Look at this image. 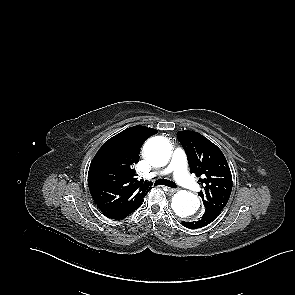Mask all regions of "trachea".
Here are the masks:
<instances>
[{
  "mask_svg": "<svg viewBox=\"0 0 295 295\" xmlns=\"http://www.w3.org/2000/svg\"><path fill=\"white\" fill-rule=\"evenodd\" d=\"M155 186L157 185H165V186H168V187H171V188H176L177 185L170 181V180H166V179H157L154 183Z\"/></svg>",
  "mask_w": 295,
  "mask_h": 295,
  "instance_id": "obj_1",
  "label": "trachea"
}]
</instances>
